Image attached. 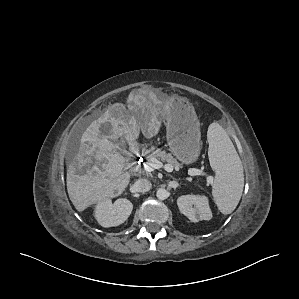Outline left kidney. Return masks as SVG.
I'll return each mask as SVG.
<instances>
[{"label":"left kidney","mask_w":299,"mask_h":299,"mask_svg":"<svg viewBox=\"0 0 299 299\" xmlns=\"http://www.w3.org/2000/svg\"><path fill=\"white\" fill-rule=\"evenodd\" d=\"M177 205L180 212L192 222L212 218L208 198L204 195H183L177 199Z\"/></svg>","instance_id":"5707ae66"}]
</instances>
